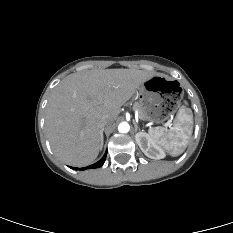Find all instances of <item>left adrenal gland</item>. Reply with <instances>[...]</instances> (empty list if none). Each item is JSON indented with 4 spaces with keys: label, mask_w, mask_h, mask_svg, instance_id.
Listing matches in <instances>:
<instances>
[{
    "label": "left adrenal gland",
    "mask_w": 233,
    "mask_h": 233,
    "mask_svg": "<svg viewBox=\"0 0 233 233\" xmlns=\"http://www.w3.org/2000/svg\"><path fill=\"white\" fill-rule=\"evenodd\" d=\"M133 124H134V127H135V131H137L139 129L138 125L135 122H133Z\"/></svg>",
    "instance_id": "left-adrenal-gland-1"
}]
</instances>
